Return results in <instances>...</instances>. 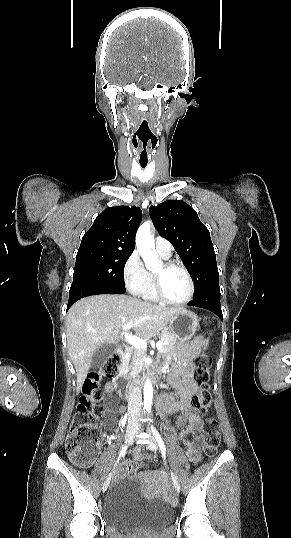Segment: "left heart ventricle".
I'll return each mask as SVG.
<instances>
[{
    "label": "left heart ventricle",
    "instance_id": "1",
    "mask_svg": "<svg viewBox=\"0 0 291 538\" xmlns=\"http://www.w3.org/2000/svg\"><path fill=\"white\" fill-rule=\"evenodd\" d=\"M154 273L161 275L163 290L169 299L179 301L186 297L189 284L182 271L177 269L163 271L162 265H160Z\"/></svg>",
    "mask_w": 291,
    "mask_h": 538
}]
</instances>
